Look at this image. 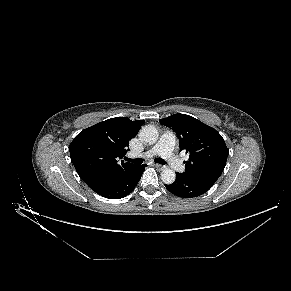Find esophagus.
I'll list each match as a JSON object with an SVG mask.
<instances>
[{
  "instance_id": "1",
  "label": "esophagus",
  "mask_w": 291,
  "mask_h": 291,
  "mask_svg": "<svg viewBox=\"0 0 291 291\" xmlns=\"http://www.w3.org/2000/svg\"><path fill=\"white\" fill-rule=\"evenodd\" d=\"M156 168L159 169V170H163L165 169V166L164 165H160V164H155Z\"/></svg>"
}]
</instances>
